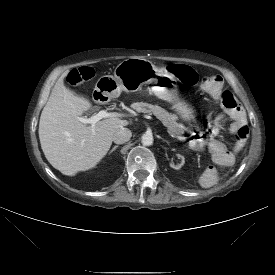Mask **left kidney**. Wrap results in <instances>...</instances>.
Here are the masks:
<instances>
[{"instance_id": "1", "label": "left kidney", "mask_w": 275, "mask_h": 275, "mask_svg": "<svg viewBox=\"0 0 275 275\" xmlns=\"http://www.w3.org/2000/svg\"><path fill=\"white\" fill-rule=\"evenodd\" d=\"M177 157L181 160H178L177 158H170L169 159V166L170 167H172V168H174V169H180L183 165H184V163H185V159H184V157L182 156V155H180V154H177Z\"/></svg>"}]
</instances>
